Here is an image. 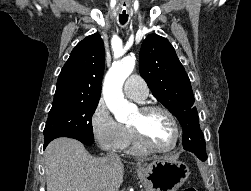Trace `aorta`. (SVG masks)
<instances>
[{"label":"aorta","mask_w":251,"mask_h":191,"mask_svg":"<svg viewBox=\"0 0 251 191\" xmlns=\"http://www.w3.org/2000/svg\"><path fill=\"white\" fill-rule=\"evenodd\" d=\"M135 66V56H127L120 62H113L108 74H106L103 94L104 99L117 121H127L130 113L134 111V103H129L122 94L123 84L132 74Z\"/></svg>","instance_id":"aorta-1"}]
</instances>
